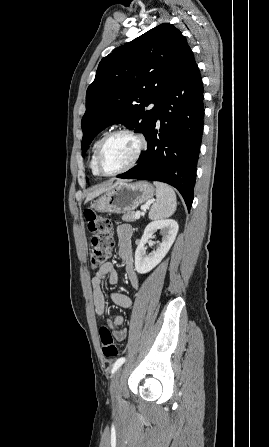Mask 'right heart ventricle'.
Wrapping results in <instances>:
<instances>
[{"label": "right heart ventricle", "instance_id": "1", "mask_svg": "<svg viewBox=\"0 0 269 447\" xmlns=\"http://www.w3.org/2000/svg\"><path fill=\"white\" fill-rule=\"evenodd\" d=\"M102 138H103V136H100L94 141L93 146H92V151H91L90 168L92 170V173L96 176L102 175L100 173V171L98 170L97 164H96L97 148H98L99 143Z\"/></svg>", "mask_w": 269, "mask_h": 447}]
</instances>
